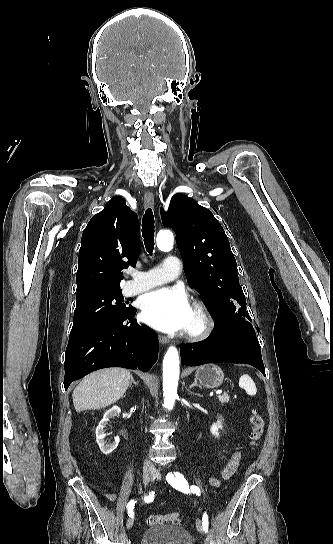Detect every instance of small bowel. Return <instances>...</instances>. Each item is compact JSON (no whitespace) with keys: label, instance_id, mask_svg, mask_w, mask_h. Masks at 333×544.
<instances>
[{"label":"small bowel","instance_id":"small-bowel-1","mask_svg":"<svg viewBox=\"0 0 333 544\" xmlns=\"http://www.w3.org/2000/svg\"><path fill=\"white\" fill-rule=\"evenodd\" d=\"M239 458H240V454L238 452H235L231 458L229 459L228 463L225 465V467L222 469V472H221V477L222 478H227L229 476H231L234 471L236 470L237 468V465H238V461H239ZM210 482L212 485L214 486H219L220 485V479L218 478H211L210 479ZM106 497L108 498L109 501L111 502H115L117 497H116V494L114 493H108L106 495Z\"/></svg>","mask_w":333,"mask_h":544}]
</instances>
